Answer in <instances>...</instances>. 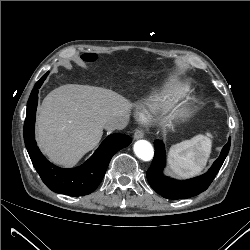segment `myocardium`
Here are the masks:
<instances>
[{
    "mask_svg": "<svg viewBox=\"0 0 250 250\" xmlns=\"http://www.w3.org/2000/svg\"><path fill=\"white\" fill-rule=\"evenodd\" d=\"M196 100L194 98H188L183 105H181L177 111L178 116H187L191 113L193 106L195 105Z\"/></svg>",
    "mask_w": 250,
    "mask_h": 250,
    "instance_id": "1",
    "label": "myocardium"
}]
</instances>
